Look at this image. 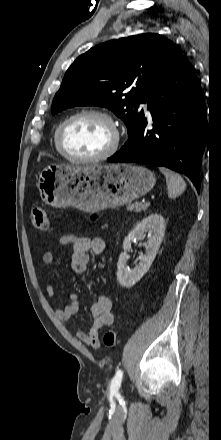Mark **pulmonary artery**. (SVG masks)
I'll return each instance as SVG.
<instances>
[{"instance_id": "1", "label": "pulmonary artery", "mask_w": 221, "mask_h": 440, "mask_svg": "<svg viewBox=\"0 0 221 440\" xmlns=\"http://www.w3.org/2000/svg\"><path fill=\"white\" fill-rule=\"evenodd\" d=\"M144 106L147 108V104L145 103Z\"/></svg>"}]
</instances>
